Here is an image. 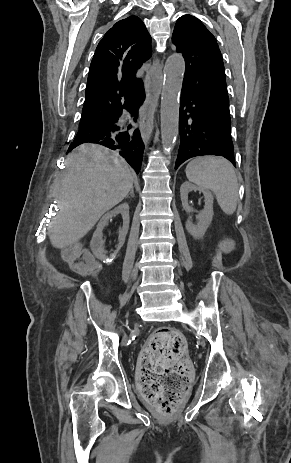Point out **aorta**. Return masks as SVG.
Returning a JSON list of instances; mask_svg holds the SVG:
<instances>
[{"label": "aorta", "instance_id": "aorta-1", "mask_svg": "<svg viewBox=\"0 0 291 463\" xmlns=\"http://www.w3.org/2000/svg\"><path fill=\"white\" fill-rule=\"evenodd\" d=\"M185 72V62L181 55L169 57L164 68L165 81L161 95V138L165 151L175 146L179 130V96Z\"/></svg>", "mask_w": 291, "mask_h": 463}]
</instances>
